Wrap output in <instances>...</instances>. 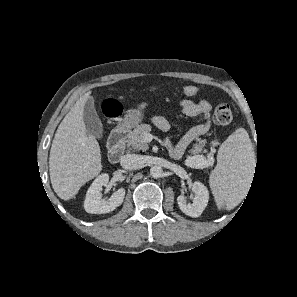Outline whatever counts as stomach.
<instances>
[{"instance_id": "0dacf381", "label": "stomach", "mask_w": 297, "mask_h": 297, "mask_svg": "<svg viewBox=\"0 0 297 297\" xmlns=\"http://www.w3.org/2000/svg\"><path fill=\"white\" fill-rule=\"evenodd\" d=\"M147 103H141L136 109H130L124 115L120 128H130L138 124L144 118V110L147 108Z\"/></svg>"}]
</instances>
